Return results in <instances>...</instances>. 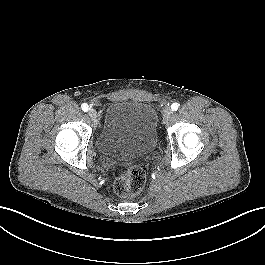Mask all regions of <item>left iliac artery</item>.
Here are the masks:
<instances>
[{
  "instance_id": "left-iliac-artery-1",
  "label": "left iliac artery",
  "mask_w": 265,
  "mask_h": 265,
  "mask_svg": "<svg viewBox=\"0 0 265 265\" xmlns=\"http://www.w3.org/2000/svg\"><path fill=\"white\" fill-rule=\"evenodd\" d=\"M178 108H179V104H178V103H173V104L171 105V109H172V111H177Z\"/></svg>"
}]
</instances>
